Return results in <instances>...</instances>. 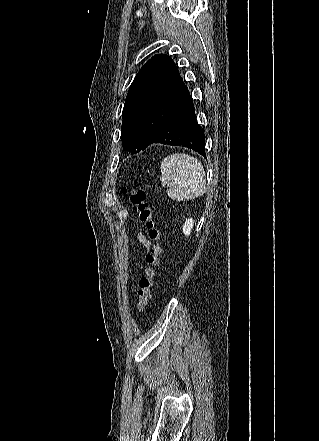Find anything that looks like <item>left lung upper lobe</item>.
<instances>
[{"instance_id":"left-lung-upper-lobe-1","label":"left lung upper lobe","mask_w":319,"mask_h":441,"mask_svg":"<svg viewBox=\"0 0 319 441\" xmlns=\"http://www.w3.org/2000/svg\"><path fill=\"white\" fill-rule=\"evenodd\" d=\"M188 87L173 60L158 54L134 78L122 112V145L132 154L144 150L161 124L178 108Z\"/></svg>"}]
</instances>
